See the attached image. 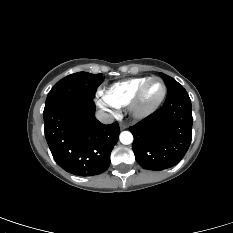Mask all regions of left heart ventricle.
<instances>
[{"label": "left heart ventricle", "mask_w": 233, "mask_h": 233, "mask_svg": "<svg viewBox=\"0 0 233 233\" xmlns=\"http://www.w3.org/2000/svg\"><path fill=\"white\" fill-rule=\"evenodd\" d=\"M162 94V84L158 80L149 83L145 89L142 104L143 106H150L154 104Z\"/></svg>", "instance_id": "1"}]
</instances>
